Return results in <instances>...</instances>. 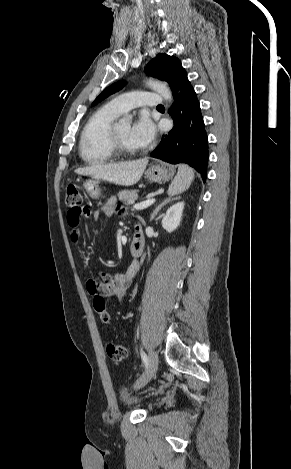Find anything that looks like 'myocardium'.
Returning <instances> with one entry per match:
<instances>
[{
  "instance_id": "obj_1",
  "label": "myocardium",
  "mask_w": 291,
  "mask_h": 469,
  "mask_svg": "<svg viewBox=\"0 0 291 469\" xmlns=\"http://www.w3.org/2000/svg\"><path fill=\"white\" fill-rule=\"evenodd\" d=\"M117 126L118 124L114 123L109 131V143L113 153L118 156H130L138 153V149H131L123 144L119 137Z\"/></svg>"
}]
</instances>
